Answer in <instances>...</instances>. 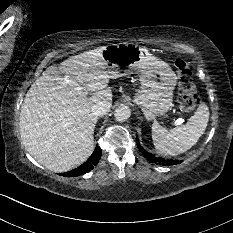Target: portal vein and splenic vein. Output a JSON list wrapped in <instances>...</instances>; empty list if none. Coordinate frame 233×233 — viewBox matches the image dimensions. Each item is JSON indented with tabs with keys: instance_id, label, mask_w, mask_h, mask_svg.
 Masks as SVG:
<instances>
[{
	"instance_id": "obj_1",
	"label": "portal vein and splenic vein",
	"mask_w": 233,
	"mask_h": 233,
	"mask_svg": "<svg viewBox=\"0 0 233 233\" xmlns=\"http://www.w3.org/2000/svg\"><path fill=\"white\" fill-rule=\"evenodd\" d=\"M66 82H69V81L66 79ZM76 89H77V90H80V88H79V87H77Z\"/></svg>"
}]
</instances>
